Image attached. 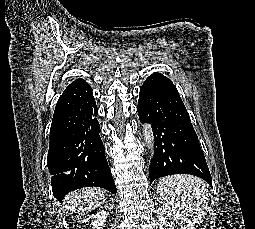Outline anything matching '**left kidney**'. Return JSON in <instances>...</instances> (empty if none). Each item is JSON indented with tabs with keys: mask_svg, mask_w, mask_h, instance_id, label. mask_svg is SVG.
I'll list each match as a JSON object with an SVG mask.
<instances>
[{
	"mask_svg": "<svg viewBox=\"0 0 255 229\" xmlns=\"http://www.w3.org/2000/svg\"><path fill=\"white\" fill-rule=\"evenodd\" d=\"M157 214L160 229H175L174 221H170L172 218L180 221V229H195L194 224L185 216V214L176 211L166 204L159 206Z\"/></svg>",
	"mask_w": 255,
	"mask_h": 229,
	"instance_id": "1",
	"label": "left kidney"
}]
</instances>
